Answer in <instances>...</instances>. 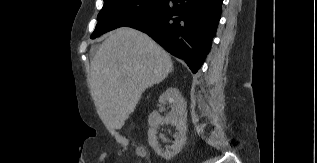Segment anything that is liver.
<instances>
[{"label": "liver", "instance_id": "1", "mask_svg": "<svg viewBox=\"0 0 317 163\" xmlns=\"http://www.w3.org/2000/svg\"><path fill=\"white\" fill-rule=\"evenodd\" d=\"M173 70L170 55L148 35L121 27L108 34L91 61L89 88L108 130L121 129L146 88Z\"/></svg>", "mask_w": 317, "mask_h": 163}]
</instances>
